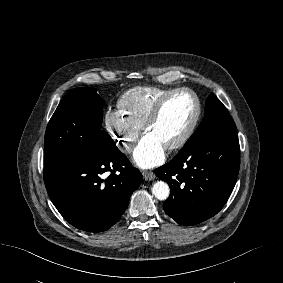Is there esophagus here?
<instances>
[{
	"label": "esophagus",
	"instance_id": "obj_1",
	"mask_svg": "<svg viewBox=\"0 0 283 283\" xmlns=\"http://www.w3.org/2000/svg\"><path fill=\"white\" fill-rule=\"evenodd\" d=\"M143 178L147 181H151L155 179V174L151 171H144L143 172Z\"/></svg>",
	"mask_w": 283,
	"mask_h": 283
}]
</instances>
